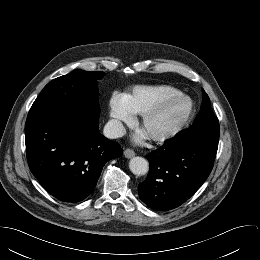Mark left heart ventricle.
Listing matches in <instances>:
<instances>
[{"label":"left heart ventricle","instance_id":"1","mask_svg":"<svg viewBox=\"0 0 260 260\" xmlns=\"http://www.w3.org/2000/svg\"><path fill=\"white\" fill-rule=\"evenodd\" d=\"M186 102L177 99L164 106L145 125L144 131L147 134L163 132L174 126L184 115Z\"/></svg>","mask_w":260,"mask_h":260}]
</instances>
